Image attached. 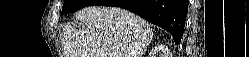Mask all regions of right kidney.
<instances>
[{"instance_id":"right-kidney-1","label":"right kidney","mask_w":249,"mask_h":57,"mask_svg":"<svg viewBox=\"0 0 249 57\" xmlns=\"http://www.w3.org/2000/svg\"><path fill=\"white\" fill-rule=\"evenodd\" d=\"M163 51H166V49H164V47L162 48Z\"/></svg>"}]
</instances>
